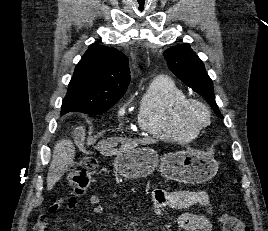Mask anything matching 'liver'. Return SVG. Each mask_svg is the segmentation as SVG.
<instances>
[{
    "mask_svg": "<svg viewBox=\"0 0 268 231\" xmlns=\"http://www.w3.org/2000/svg\"><path fill=\"white\" fill-rule=\"evenodd\" d=\"M79 131L83 132V128H79ZM74 136L76 138V143L80 145L82 135H78L76 131ZM118 143H121L119 150L113 149V146H117ZM152 143H154V140L148 138L138 140L131 138L114 137L108 138L106 140H101L97 144L96 149L103 155H115L122 150L136 148L138 144L147 145ZM74 158L75 147L70 139H62L55 144L52 161L50 163L49 172L47 175L48 191H51L53 189L54 185L61 179L68 167L73 164Z\"/></svg>",
    "mask_w": 268,
    "mask_h": 231,
    "instance_id": "liver-1",
    "label": "liver"
}]
</instances>
